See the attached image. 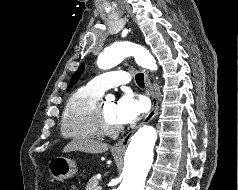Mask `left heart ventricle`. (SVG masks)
<instances>
[{
  "mask_svg": "<svg viewBox=\"0 0 238 190\" xmlns=\"http://www.w3.org/2000/svg\"><path fill=\"white\" fill-rule=\"evenodd\" d=\"M116 107L117 103L114 101H105L103 103V109L108 121L112 124L119 125L121 123L117 119Z\"/></svg>",
  "mask_w": 238,
  "mask_h": 190,
  "instance_id": "b2bd125f",
  "label": "left heart ventricle"
}]
</instances>
